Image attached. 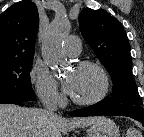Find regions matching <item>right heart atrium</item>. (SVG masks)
<instances>
[{
	"label": "right heart atrium",
	"instance_id": "d8ad5b80",
	"mask_svg": "<svg viewBox=\"0 0 144 137\" xmlns=\"http://www.w3.org/2000/svg\"><path fill=\"white\" fill-rule=\"evenodd\" d=\"M29 76L36 95L44 105L54 107L62 103L63 96L58 82L47 67L40 62H35Z\"/></svg>",
	"mask_w": 144,
	"mask_h": 137
}]
</instances>
